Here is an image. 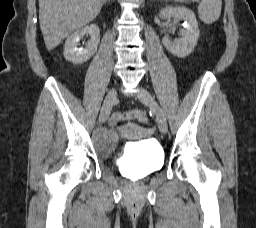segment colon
I'll return each mask as SVG.
<instances>
[{
    "mask_svg": "<svg viewBox=\"0 0 256 228\" xmlns=\"http://www.w3.org/2000/svg\"><path fill=\"white\" fill-rule=\"evenodd\" d=\"M124 120L136 121L140 123L148 122L146 113L140 109L125 111V112H115L112 115V122L115 124Z\"/></svg>",
    "mask_w": 256,
    "mask_h": 228,
    "instance_id": "colon-1",
    "label": "colon"
}]
</instances>
